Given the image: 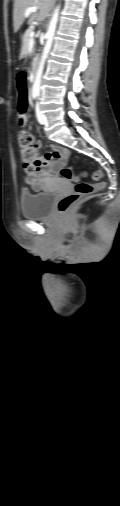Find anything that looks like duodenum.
<instances>
[{
	"label": "duodenum",
	"instance_id": "obj_1",
	"mask_svg": "<svg viewBox=\"0 0 120 506\" xmlns=\"http://www.w3.org/2000/svg\"><path fill=\"white\" fill-rule=\"evenodd\" d=\"M17 54H18V56H20V57L22 56L23 57V56H25L26 53H25V51H23V50L21 51L20 50V51H18ZM37 70H38V60L36 59L34 61V63H33V68H32V80L35 79L36 74H37Z\"/></svg>",
	"mask_w": 120,
	"mask_h": 506
}]
</instances>
